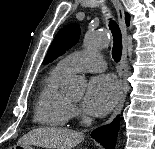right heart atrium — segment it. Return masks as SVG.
Segmentation results:
<instances>
[{"label": "right heart atrium", "mask_w": 155, "mask_h": 149, "mask_svg": "<svg viewBox=\"0 0 155 149\" xmlns=\"http://www.w3.org/2000/svg\"><path fill=\"white\" fill-rule=\"evenodd\" d=\"M71 111H72V117H80L81 116L79 109L75 105L71 106Z\"/></svg>", "instance_id": "d8ad5b80"}]
</instances>
